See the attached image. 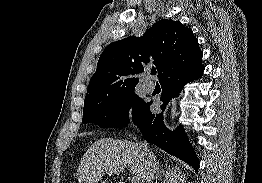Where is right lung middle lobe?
<instances>
[{
	"mask_svg": "<svg viewBox=\"0 0 262 183\" xmlns=\"http://www.w3.org/2000/svg\"><path fill=\"white\" fill-rule=\"evenodd\" d=\"M146 105L133 89L84 104L82 122L95 123L100 127L123 128L130 122L128 110L132 108L134 120Z\"/></svg>",
	"mask_w": 262,
	"mask_h": 183,
	"instance_id": "obj_1",
	"label": "right lung middle lobe"
}]
</instances>
